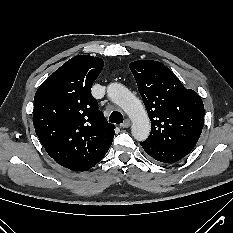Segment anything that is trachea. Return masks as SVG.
Wrapping results in <instances>:
<instances>
[{
	"instance_id": "3493384b",
	"label": "trachea",
	"mask_w": 233,
	"mask_h": 233,
	"mask_svg": "<svg viewBox=\"0 0 233 233\" xmlns=\"http://www.w3.org/2000/svg\"><path fill=\"white\" fill-rule=\"evenodd\" d=\"M109 121L112 123L121 124V123H123L124 118L120 112L114 111L111 113V115L109 117Z\"/></svg>"
}]
</instances>
